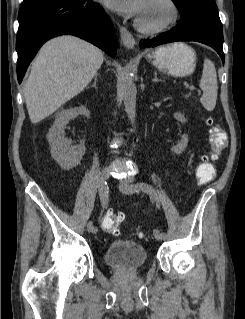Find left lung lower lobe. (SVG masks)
I'll return each instance as SVG.
<instances>
[{"label":"left lung lower lobe","mask_w":245,"mask_h":319,"mask_svg":"<svg viewBox=\"0 0 245 319\" xmlns=\"http://www.w3.org/2000/svg\"><path fill=\"white\" fill-rule=\"evenodd\" d=\"M175 41H197L211 46L220 55L224 64L223 29L206 19L195 18L181 21L171 30L162 33L152 40L141 43L142 47H156L160 44Z\"/></svg>","instance_id":"obj_1"}]
</instances>
